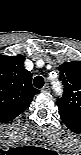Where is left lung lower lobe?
<instances>
[{
  "instance_id": "0a47b994",
  "label": "left lung lower lobe",
  "mask_w": 81,
  "mask_h": 155,
  "mask_svg": "<svg viewBox=\"0 0 81 155\" xmlns=\"http://www.w3.org/2000/svg\"><path fill=\"white\" fill-rule=\"evenodd\" d=\"M60 117L63 123L73 132L80 133L81 132V121L69 118L67 116L61 115Z\"/></svg>"
}]
</instances>
